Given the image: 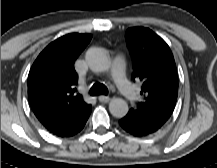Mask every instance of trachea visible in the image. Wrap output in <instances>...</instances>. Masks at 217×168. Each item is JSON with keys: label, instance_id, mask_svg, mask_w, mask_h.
Instances as JSON below:
<instances>
[{"label": "trachea", "instance_id": "3493384b", "mask_svg": "<svg viewBox=\"0 0 217 168\" xmlns=\"http://www.w3.org/2000/svg\"><path fill=\"white\" fill-rule=\"evenodd\" d=\"M90 94L92 96H97V95H107L108 94V89L104 84L101 83H95L90 89Z\"/></svg>", "mask_w": 217, "mask_h": 168}]
</instances>
